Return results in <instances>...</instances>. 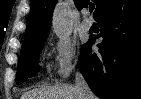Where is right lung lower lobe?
Masks as SVG:
<instances>
[{
  "label": "right lung lower lobe",
  "instance_id": "1",
  "mask_svg": "<svg viewBox=\"0 0 141 99\" xmlns=\"http://www.w3.org/2000/svg\"><path fill=\"white\" fill-rule=\"evenodd\" d=\"M103 41L92 53L90 38L78 67L101 99H139L141 94V0H111L97 18Z\"/></svg>",
  "mask_w": 141,
  "mask_h": 99
}]
</instances>
